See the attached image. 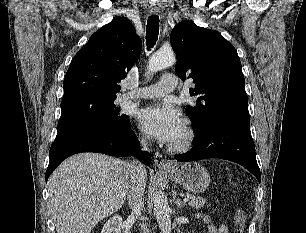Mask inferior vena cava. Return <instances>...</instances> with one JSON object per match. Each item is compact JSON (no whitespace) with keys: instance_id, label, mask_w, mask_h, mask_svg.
<instances>
[{"instance_id":"inferior-vena-cava-1","label":"inferior vena cava","mask_w":306,"mask_h":233,"mask_svg":"<svg viewBox=\"0 0 306 233\" xmlns=\"http://www.w3.org/2000/svg\"><path fill=\"white\" fill-rule=\"evenodd\" d=\"M143 150H148L147 139H142ZM146 185V170L138 161L129 164V181L127 184V200L132 210L133 216H140L144 206V190ZM143 233H148V229L143 226Z\"/></svg>"}]
</instances>
